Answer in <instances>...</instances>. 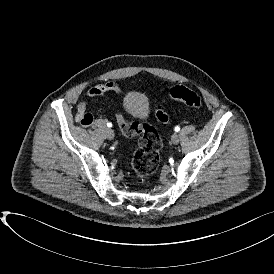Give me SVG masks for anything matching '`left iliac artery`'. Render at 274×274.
Returning a JSON list of instances; mask_svg holds the SVG:
<instances>
[{
	"label": "left iliac artery",
	"instance_id": "44dca946",
	"mask_svg": "<svg viewBox=\"0 0 274 274\" xmlns=\"http://www.w3.org/2000/svg\"><path fill=\"white\" fill-rule=\"evenodd\" d=\"M180 130V127L179 126H176L175 127V131L178 132Z\"/></svg>",
	"mask_w": 274,
	"mask_h": 274
}]
</instances>
